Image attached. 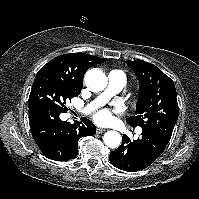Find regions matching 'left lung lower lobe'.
<instances>
[{
    "mask_svg": "<svg viewBox=\"0 0 199 199\" xmlns=\"http://www.w3.org/2000/svg\"><path fill=\"white\" fill-rule=\"evenodd\" d=\"M169 140L159 133L147 130H143L141 137L134 141L124 134L121 146L110 153V162L127 172L142 170L162 154Z\"/></svg>",
    "mask_w": 199,
    "mask_h": 199,
    "instance_id": "1",
    "label": "left lung lower lobe"
}]
</instances>
